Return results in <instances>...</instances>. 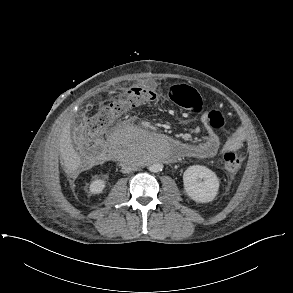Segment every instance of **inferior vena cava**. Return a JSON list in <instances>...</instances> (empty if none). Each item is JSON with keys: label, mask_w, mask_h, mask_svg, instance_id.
Listing matches in <instances>:
<instances>
[{"label": "inferior vena cava", "mask_w": 293, "mask_h": 293, "mask_svg": "<svg viewBox=\"0 0 293 293\" xmlns=\"http://www.w3.org/2000/svg\"><path fill=\"white\" fill-rule=\"evenodd\" d=\"M134 169H135V167H134L133 165H129V164H127V165H123V166H122L121 171H122L123 173H129V172L133 171Z\"/></svg>", "instance_id": "602c4592"}]
</instances>
